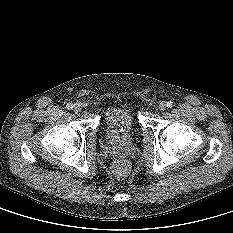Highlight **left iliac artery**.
I'll list each match as a JSON object with an SVG mask.
<instances>
[{"mask_svg": "<svg viewBox=\"0 0 233 233\" xmlns=\"http://www.w3.org/2000/svg\"><path fill=\"white\" fill-rule=\"evenodd\" d=\"M167 107L168 108H172L173 107V102L172 101H168L167 102Z\"/></svg>", "mask_w": 233, "mask_h": 233, "instance_id": "1", "label": "left iliac artery"}]
</instances>
